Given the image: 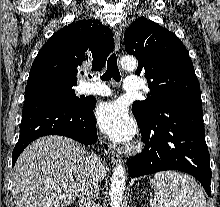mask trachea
I'll return each mask as SVG.
<instances>
[{"label": "trachea", "mask_w": 220, "mask_h": 207, "mask_svg": "<svg viewBox=\"0 0 220 207\" xmlns=\"http://www.w3.org/2000/svg\"><path fill=\"white\" fill-rule=\"evenodd\" d=\"M91 78V76H89ZM113 78L116 82H120L121 75L117 66V57L116 54L113 53L107 60V70L101 76V80L108 81Z\"/></svg>", "instance_id": "trachea-1"}]
</instances>
